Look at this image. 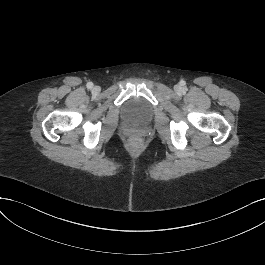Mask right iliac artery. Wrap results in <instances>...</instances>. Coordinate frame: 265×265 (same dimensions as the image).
Returning a JSON list of instances; mask_svg holds the SVG:
<instances>
[{
    "label": "right iliac artery",
    "instance_id": "right-iliac-artery-1",
    "mask_svg": "<svg viewBox=\"0 0 265 265\" xmlns=\"http://www.w3.org/2000/svg\"><path fill=\"white\" fill-rule=\"evenodd\" d=\"M86 86H87L88 89H92L93 88V83L92 82H88Z\"/></svg>",
    "mask_w": 265,
    "mask_h": 265
}]
</instances>
